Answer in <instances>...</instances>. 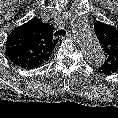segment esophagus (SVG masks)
<instances>
[{
    "label": "esophagus",
    "mask_w": 118,
    "mask_h": 118,
    "mask_svg": "<svg viewBox=\"0 0 118 118\" xmlns=\"http://www.w3.org/2000/svg\"><path fill=\"white\" fill-rule=\"evenodd\" d=\"M72 37V34H67V36L66 37H61L62 39H68V38H71Z\"/></svg>",
    "instance_id": "34e87169"
}]
</instances>
